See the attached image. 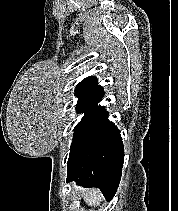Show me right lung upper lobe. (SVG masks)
Returning a JSON list of instances; mask_svg holds the SVG:
<instances>
[{
	"instance_id": "1",
	"label": "right lung upper lobe",
	"mask_w": 178,
	"mask_h": 211,
	"mask_svg": "<svg viewBox=\"0 0 178 211\" xmlns=\"http://www.w3.org/2000/svg\"><path fill=\"white\" fill-rule=\"evenodd\" d=\"M75 95L79 98L77 104L96 105L104 96V91L95 77H88L77 85Z\"/></svg>"
}]
</instances>
